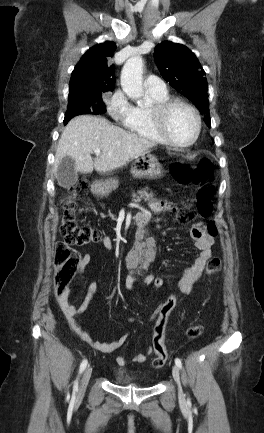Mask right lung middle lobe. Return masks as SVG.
I'll list each match as a JSON object with an SVG mask.
<instances>
[{
    "mask_svg": "<svg viewBox=\"0 0 264 433\" xmlns=\"http://www.w3.org/2000/svg\"><path fill=\"white\" fill-rule=\"evenodd\" d=\"M102 93L89 96L68 98V110L65 114L64 124L80 114H103L106 112V105L102 100Z\"/></svg>",
    "mask_w": 264,
    "mask_h": 433,
    "instance_id": "1",
    "label": "right lung middle lobe"
}]
</instances>
